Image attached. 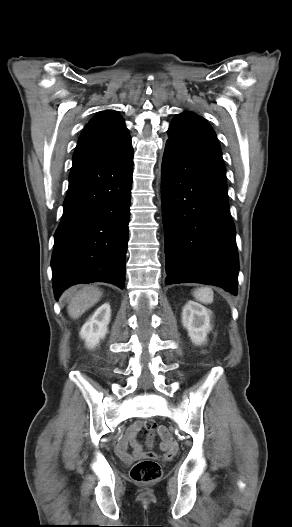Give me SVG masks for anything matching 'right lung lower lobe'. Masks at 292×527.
<instances>
[{"label": "right lung lower lobe", "instance_id": "obj_1", "mask_svg": "<svg viewBox=\"0 0 292 527\" xmlns=\"http://www.w3.org/2000/svg\"><path fill=\"white\" fill-rule=\"evenodd\" d=\"M132 173V146L73 158L51 259L56 300L77 283L124 288Z\"/></svg>", "mask_w": 292, "mask_h": 527}]
</instances>
